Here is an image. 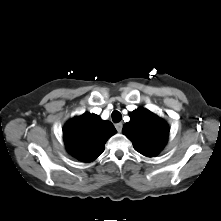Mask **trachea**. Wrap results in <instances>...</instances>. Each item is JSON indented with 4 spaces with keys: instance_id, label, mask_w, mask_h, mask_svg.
Instances as JSON below:
<instances>
[{
    "instance_id": "trachea-1",
    "label": "trachea",
    "mask_w": 221,
    "mask_h": 221,
    "mask_svg": "<svg viewBox=\"0 0 221 221\" xmlns=\"http://www.w3.org/2000/svg\"><path fill=\"white\" fill-rule=\"evenodd\" d=\"M112 120H113V122L114 123H118V122H120L121 120H122V115H121V113L119 112V111H117V110H114L113 112H112Z\"/></svg>"
}]
</instances>
